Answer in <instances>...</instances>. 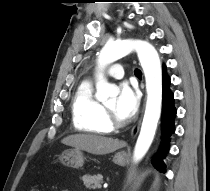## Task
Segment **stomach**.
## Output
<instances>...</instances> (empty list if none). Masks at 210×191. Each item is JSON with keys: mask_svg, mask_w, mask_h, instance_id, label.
I'll use <instances>...</instances> for the list:
<instances>
[{"mask_svg": "<svg viewBox=\"0 0 210 191\" xmlns=\"http://www.w3.org/2000/svg\"><path fill=\"white\" fill-rule=\"evenodd\" d=\"M60 162L68 167L81 168L84 164V157L81 150H66L60 156ZM113 162L119 166H124L127 162V156L124 152H118L113 158Z\"/></svg>", "mask_w": 210, "mask_h": 191, "instance_id": "obj_1", "label": "stomach"}]
</instances>
